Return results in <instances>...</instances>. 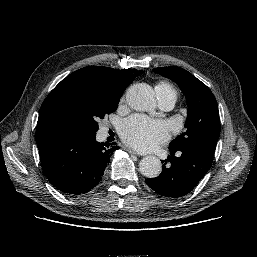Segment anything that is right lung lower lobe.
Returning <instances> with one entry per match:
<instances>
[{
  "label": "right lung lower lobe",
  "instance_id": "obj_1",
  "mask_svg": "<svg viewBox=\"0 0 257 257\" xmlns=\"http://www.w3.org/2000/svg\"><path fill=\"white\" fill-rule=\"evenodd\" d=\"M96 134L66 133L38 145L42 169L60 191L82 194L94 188L118 146L99 143Z\"/></svg>",
  "mask_w": 257,
  "mask_h": 257
}]
</instances>
